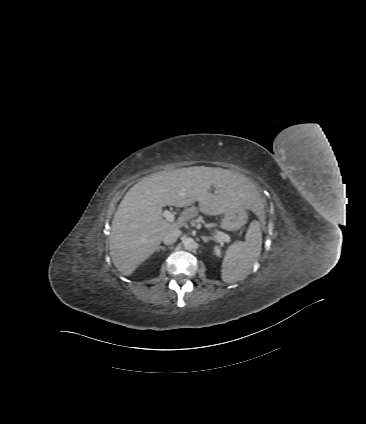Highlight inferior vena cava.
<instances>
[{
	"label": "inferior vena cava",
	"instance_id": "obj_1",
	"mask_svg": "<svg viewBox=\"0 0 366 424\" xmlns=\"http://www.w3.org/2000/svg\"><path fill=\"white\" fill-rule=\"evenodd\" d=\"M181 235V231L179 229H172L168 232H166V234L163 237V242L165 245H171L173 244L178 237Z\"/></svg>",
	"mask_w": 366,
	"mask_h": 424
}]
</instances>
